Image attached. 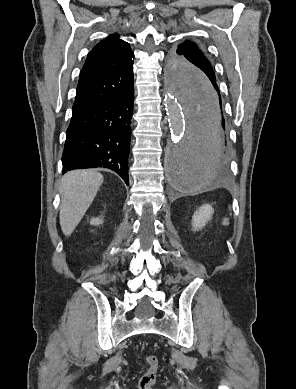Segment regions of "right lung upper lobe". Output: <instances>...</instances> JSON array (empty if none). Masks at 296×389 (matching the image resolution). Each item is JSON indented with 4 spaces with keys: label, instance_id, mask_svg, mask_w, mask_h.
Returning a JSON list of instances; mask_svg holds the SVG:
<instances>
[{
    "label": "right lung upper lobe",
    "instance_id": "1",
    "mask_svg": "<svg viewBox=\"0 0 296 389\" xmlns=\"http://www.w3.org/2000/svg\"><path fill=\"white\" fill-rule=\"evenodd\" d=\"M133 57L118 35L95 45L82 68L72 112L121 95L133 83Z\"/></svg>",
    "mask_w": 296,
    "mask_h": 389
}]
</instances>
